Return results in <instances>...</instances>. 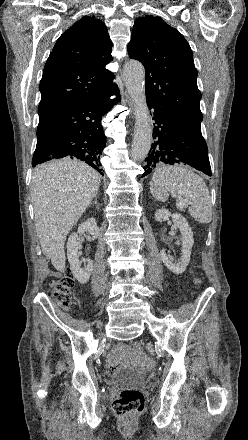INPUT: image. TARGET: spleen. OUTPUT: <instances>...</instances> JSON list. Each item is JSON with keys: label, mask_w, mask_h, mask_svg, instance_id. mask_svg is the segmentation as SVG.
Listing matches in <instances>:
<instances>
[{"label": "spleen", "mask_w": 248, "mask_h": 440, "mask_svg": "<svg viewBox=\"0 0 248 440\" xmlns=\"http://www.w3.org/2000/svg\"><path fill=\"white\" fill-rule=\"evenodd\" d=\"M150 192L161 202L168 199L169 193L177 200L190 205L191 217L201 224L212 219V205L209 190L204 180L183 165H164L158 168L151 179Z\"/></svg>", "instance_id": "obj_1"}]
</instances>
